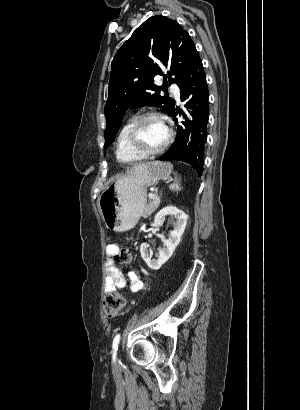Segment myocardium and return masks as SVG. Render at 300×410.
Listing matches in <instances>:
<instances>
[{"instance_id":"f54148a6","label":"myocardium","mask_w":300,"mask_h":410,"mask_svg":"<svg viewBox=\"0 0 300 410\" xmlns=\"http://www.w3.org/2000/svg\"><path fill=\"white\" fill-rule=\"evenodd\" d=\"M149 119H158L162 121V123L165 125L167 129V138L165 142L159 148L152 149V150L145 149L142 146L140 139H139L140 127L145 121ZM172 139H173V132L171 128L168 126L164 116L157 112H147V113H144L138 116L131 124L128 130V133H127V141H128L130 148L134 152H136L137 154H139L140 156L144 158L155 156L165 151L167 147L170 145Z\"/></svg>"}]
</instances>
